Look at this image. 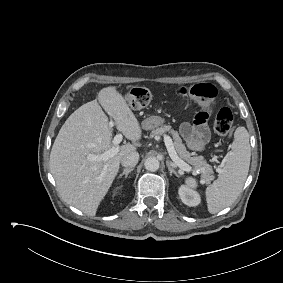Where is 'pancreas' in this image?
<instances>
[{"label": "pancreas", "mask_w": 283, "mask_h": 283, "mask_svg": "<svg viewBox=\"0 0 283 283\" xmlns=\"http://www.w3.org/2000/svg\"><path fill=\"white\" fill-rule=\"evenodd\" d=\"M166 132H168L173 138V146L175 147L176 152L178 153L180 159L184 160L188 164L192 165L194 172L201 173V182L202 183H210L212 180V168L211 166L204 160L203 156H194V153H190L186 146L183 144L182 139L179 136V133L171 128L169 125L161 126L152 131L151 136L155 135H163L165 136Z\"/></svg>", "instance_id": "obj_1"}]
</instances>
